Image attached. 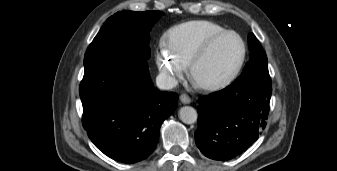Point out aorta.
Wrapping results in <instances>:
<instances>
[{
	"mask_svg": "<svg viewBox=\"0 0 337 171\" xmlns=\"http://www.w3.org/2000/svg\"><path fill=\"white\" fill-rule=\"evenodd\" d=\"M197 111L190 106H184L179 110V118L185 124H193L197 121Z\"/></svg>",
	"mask_w": 337,
	"mask_h": 171,
	"instance_id": "762f6f07",
	"label": "aorta"
}]
</instances>
